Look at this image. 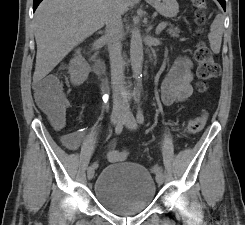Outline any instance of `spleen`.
I'll use <instances>...</instances> for the list:
<instances>
[{
	"mask_svg": "<svg viewBox=\"0 0 245 225\" xmlns=\"http://www.w3.org/2000/svg\"><path fill=\"white\" fill-rule=\"evenodd\" d=\"M224 31V22L221 14H218L211 24L210 33L208 39L210 47L214 53H219L222 42V35Z\"/></svg>",
	"mask_w": 245,
	"mask_h": 225,
	"instance_id": "1",
	"label": "spleen"
}]
</instances>
